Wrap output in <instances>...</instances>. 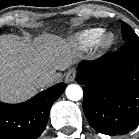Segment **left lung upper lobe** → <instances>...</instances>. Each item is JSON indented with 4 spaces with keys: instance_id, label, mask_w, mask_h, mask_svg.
Segmentation results:
<instances>
[{
    "instance_id": "obj_1",
    "label": "left lung upper lobe",
    "mask_w": 139,
    "mask_h": 139,
    "mask_svg": "<svg viewBox=\"0 0 139 139\" xmlns=\"http://www.w3.org/2000/svg\"><path fill=\"white\" fill-rule=\"evenodd\" d=\"M122 23V34H123V39L125 41H129V40H139V37L136 35V33L134 32V30L126 23L121 22Z\"/></svg>"
}]
</instances>
